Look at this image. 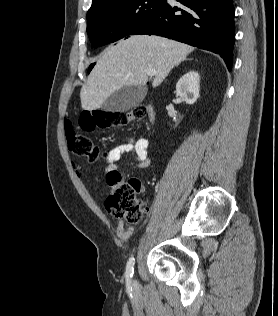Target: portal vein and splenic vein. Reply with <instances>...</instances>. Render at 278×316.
Here are the masks:
<instances>
[{"label": "portal vein and splenic vein", "instance_id": "portal-vein-and-splenic-vein-1", "mask_svg": "<svg viewBox=\"0 0 278 316\" xmlns=\"http://www.w3.org/2000/svg\"><path fill=\"white\" fill-rule=\"evenodd\" d=\"M147 74H148L149 76H155V75H156V71H155V70H148V71H147Z\"/></svg>", "mask_w": 278, "mask_h": 316}]
</instances>
